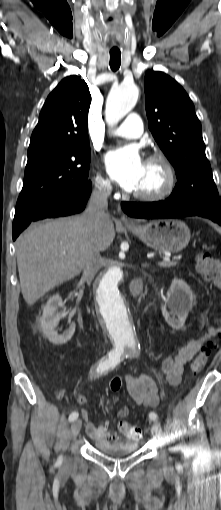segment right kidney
<instances>
[{
    "mask_svg": "<svg viewBox=\"0 0 221 510\" xmlns=\"http://www.w3.org/2000/svg\"><path fill=\"white\" fill-rule=\"evenodd\" d=\"M65 316V307L61 297L58 294L52 296L43 306V314L40 318V326L44 335L54 345H63L68 342L74 335L75 323H70L69 328L62 335H58L57 333L58 322Z\"/></svg>",
    "mask_w": 221,
    "mask_h": 510,
    "instance_id": "right-kidney-1",
    "label": "right kidney"
}]
</instances>
